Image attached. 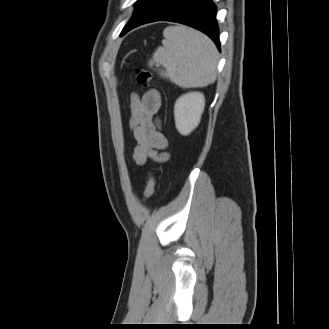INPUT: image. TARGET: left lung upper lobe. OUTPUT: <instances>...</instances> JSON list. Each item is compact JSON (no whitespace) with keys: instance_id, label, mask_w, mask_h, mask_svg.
Listing matches in <instances>:
<instances>
[{"instance_id":"left-lung-upper-lobe-1","label":"left lung upper lobe","mask_w":329,"mask_h":329,"mask_svg":"<svg viewBox=\"0 0 329 329\" xmlns=\"http://www.w3.org/2000/svg\"><path fill=\"white\" fill-rule=\"evenodd\" d=\"M144 1H145V0H138V1L136 2L137 7L140 6Z\"/></svg>"}]
</instances>
